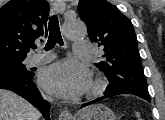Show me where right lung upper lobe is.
<instances>
[{"label": "right lung upper lobe", "mask_w": 165, "mask_h": 120, "mask_svg": "<svg viewBox=\"0 0 165 120\" xmlns=\"http://www.w3.org/2000/svg\"><path fill=\"white\" fill-rule=\"evenodd\" d=\"M46 0H11L0 9V62L24 60L30 43L47 36Z\"/></svg>", "instance_id": "1"}]
</instances>
